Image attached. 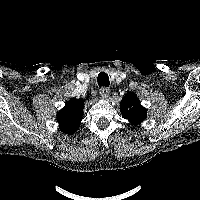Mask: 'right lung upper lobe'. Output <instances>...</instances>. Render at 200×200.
<instances>
[{"mask_svg":"<svg viewBox=\"0 0 200 200\" xmlns=\"http://www.w3.org/2000/svg\"><path fill=\"white\" fill-rule=\"evenodd\" d=\"M83 105V100L72 98L66 102V106L58 112L57 120L63 132L73 134L78 129L82 120Z\"/></svg>","mask_w":200,"mask_h":200,"instance_id":"cb5924a9","label":"right lung upper lobe"}]
</instances>
